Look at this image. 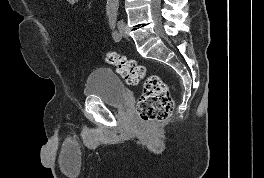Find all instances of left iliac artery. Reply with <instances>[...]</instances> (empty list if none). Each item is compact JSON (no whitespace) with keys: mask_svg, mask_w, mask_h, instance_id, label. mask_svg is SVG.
Segmentation results:
<instances>
[{"mask_svg":"<svg viewBox=\"0 0 264 178\" xmlns=\"http://www.w3.org/2000/svg\"><path fill=\"white\" fill-rule=\"evenodd\" d=\"M108 17H109V25H110V28L112 29V37L115 41H119L120 35L115 30L116 20H117V11L108 12Z\"/></svg>","mask_w":264,"mask_h":178,"instance_id":"44dca946","label":"left iliac artery"}]
</instances>
